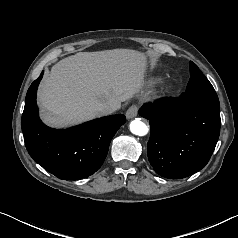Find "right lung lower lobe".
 <instances>
[{"instance_id":"1","label":"right lung lower lobe","mask_w":238,"mask_h":238,"mask_svg":"<svg viewBox=\"0 0 238 238\" xmlns=\"http://www.w3.org/2000/svg\"><path fill=\"white\" fill-rule=\"evenodd\" d=\"M43 72L28 89L21 120L25 146L33 160L63 180H78L95 173L103 164L111 139L126 122L123 114L106 116L56 130L38 115L36 92Z\"/></svg>"}]
</instances>
